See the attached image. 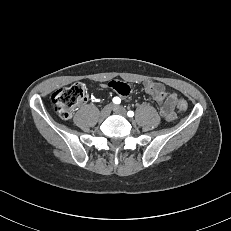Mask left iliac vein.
<instances>
[{"label": "left iliac vein", "mask_w": 231, "mask_h": 231, "mask_svg": "<svg viewBox=\"0 0 231 231\" xmlns=\"http://www.w3.org/2000/svg\"><path fill=\"white\" fill-rule=\"evenodd\" d=\"M113 111L119 115L126 116L127 111L124 107L121 106H113Z\"/></svg>", "instance_id": "left-iliac-vein-1"}]
</instances>
